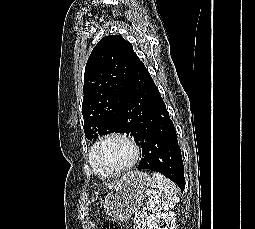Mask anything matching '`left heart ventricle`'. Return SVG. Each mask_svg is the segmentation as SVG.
Listing matches in <instances>:
<instances>
[{
    "label": "left heart ventricle",
    "mask_w": 255,
    "mask_h": 229,
    "mask_svg": "<svg viewBox=\"0 0 255 229\" xmlns=\"http://www.w3.org/2000/svg\"><path fill=\"white\" fill-rule=\"evenodd\" d=\"M133 156L131 147L123 140L113 138L98 148V161L109 169L120 168L128 164Z\"/></svg>",
    "instance_id": "b2bd125f"
}]
</instances>
